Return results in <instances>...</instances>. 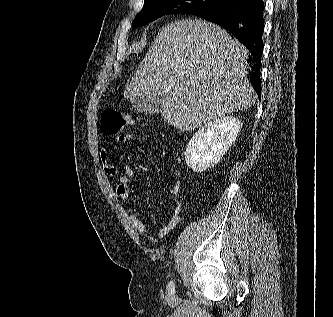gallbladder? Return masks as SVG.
Wrapping results in <instances>:
<instances>
[{
	"label": "gallbladder",
	"instance_id": "gallbladder-1",
	"mask_svg": "<svg viewBox=\"0 0 333 317\" xmlns=\"http://www.w3.org/2000/svg\"><path fill=\"white\" fill-rule=\"evenodd\" d=\"M131 104L139 113L154 115L160 113L163 99L159 96H143L132 99Z\"/></svg>",
	"mask_w": 333,
	"mask_h": 317
}]
</instances>
